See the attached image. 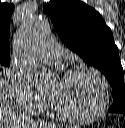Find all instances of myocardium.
<instances>
[{
	"label": "myocardium",
	"mask_w": 125,
	"mask_h": 128,
	"mask_svg": "<svg viewBox=\"0 0 125 128\" xmlns=\"http://www.w3.org/2000/svg\"><path fill=\"white\" fill-rule=\"evenodd\" d=\"M78 72H89L93 74L101 83L103 99L99 108L91 113H71L66 109H64L54 96L50 95V100L55 113L61 119L68 122H73V123L90 122L99 118L108 109L109 102H110L109 83L99 70L85 64H78V65L69 67L68 69L62 72L61 77L66 78Z\"/></svg>",
	"instance_id": "f54148a6"
}]
</instances>
